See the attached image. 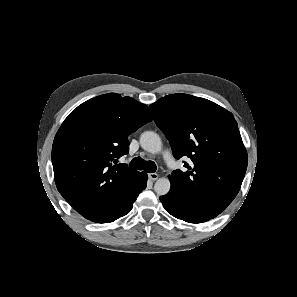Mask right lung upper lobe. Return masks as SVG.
Here are the masks:
<instances>
[{"label": "right lung upper lobe", "mask_w": 297, "mask_h": 297, "mask_svg": "<svg viewBox=\"0 0 297 297\" xmlns=\"http://www.w3.org/2000/svg\"><path fill=\"white\" fill-rule=\"evenodd\" d=\"M151 120L145 104L108 93L82 103L62 123L52 147L54 179L86 219L97 222L139 174L118 159L129 151L128 135Z\"/></svg>", "instance_id": "cb5924a9"}]
</instances>
